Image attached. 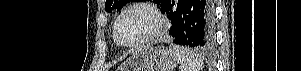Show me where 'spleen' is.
Returning a JSON list of instances; mask_svg holds the SVG:
<instances>
[{"instance_id":"3e777b00","label":"spleen","mask_w":301,"mask_h":71,"mask_svg":"<svg viewBox=\"0 0 301 71\" xmlns=\"http://www.w3.org/2000/svg\"><path fill=\"white\" fill-rule=\"evenodd\" d=\"M169 51L173 54L176 61L180 64L181 71L202 70L203 61L197 53L176 45H170Z\"/></svg>"}]
</instances>
